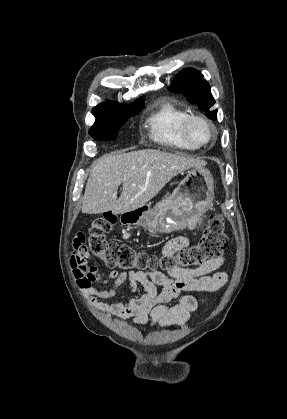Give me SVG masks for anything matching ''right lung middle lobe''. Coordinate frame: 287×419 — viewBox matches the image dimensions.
<instances>
[{
  "label": "right lung middle lobe",
  "mask_w": 287,
  "mask_h": 419,
  "mask_svg": "<svg viewBox=\"0 0 287 419\" xmlns=\"http://www.w3.org/2000/svg\"><path fill=\"white\" fill-rule=\"evenodd\" d=\"M143 107L144 106L94 114L96 121L89 130L90 136L101 141L114 140L117 137L120 127L128 120V118L138 114Z\"/></svg>",
  "instance_id": "dd1d6c3e"
}]
</instances>
